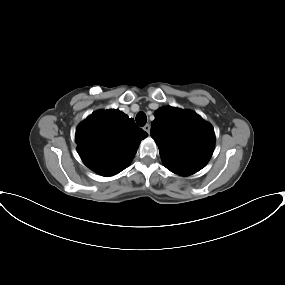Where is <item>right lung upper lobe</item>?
<instances>
[{
  "label": "right lung upper lobe",
  "instance_id": "right-lung-upper-lobe-1",
  "mask_svg": "<svg viewBox=\"0 0 285 285\" xmlns=\"http://www.w3.org/2000/svg\"><path fill=\"white\" fill-rule=\"evenodd\" d=\"M148 134L119 110L92 113L76 129L77 151L84 164L102 176H113L133 159Z\"/></svg>",
  "mask_w": 285,
  "mask_h": 285
}]
</instances>
